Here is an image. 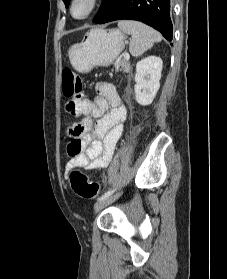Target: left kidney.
Returning a JSON list of instances; mask_svg holds the SVG:
<instances>
[{"label":"left kidney","instance_id":"1","mask_svg":"<svg viewBox=\"0 0 227 279\" xmlns=\"http://www.w3.org/2000/svg\"><path fill=\"white\" fill-rule=\"evenodd\" d=\"M163 62L160 57L149 56L136 64L134 93L136 101L143 106L150 105L160 87Z\"/></svg>","mask_w":227,"mask_h":279}]
</instances>
